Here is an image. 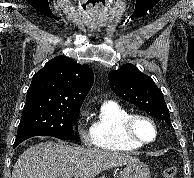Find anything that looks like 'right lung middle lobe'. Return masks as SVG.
Masks as SVG:
<instances>
[{"label": "right lung middle lobe", "instance_id": "right-lung-middle-lobe-1", "mask_svg": "<svg viewBox=\"0 0 194 178\" xmlns=\"http://www.w3.org/2000/svg\"><path fill=\"white\" fill-rule=\"evenodd\" d=\"M80 108L47 99L26 100L16 138L53 136L73 140V124Z\"/></svg>", "mask_w": 194, "mask_h": 178}]
</instances>
